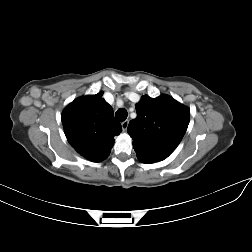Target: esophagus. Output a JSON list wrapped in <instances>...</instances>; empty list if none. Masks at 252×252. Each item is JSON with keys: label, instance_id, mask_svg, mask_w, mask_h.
I'll list each match as a JSON object with an SVG mask.
<instances>
[{"label": "esophagus", "instance_id": "esophagus-1", "mask_svg": "<svg viewBox=\"0 0 252 252\" xmlns=\"http://www.w3.org/2000/svg\"><path fill=\"white\" fill-rule=\"evenodd\" d=\"M128 124H129L128 120H125L124 122H122L121 125H122L123 131H126V130H127Z\"/></svg>", "mask_w": 252, "mask_h": 252}]
</instances>
